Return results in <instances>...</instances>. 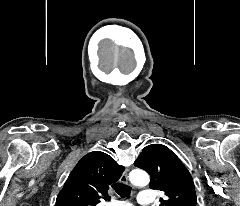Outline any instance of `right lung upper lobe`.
I'll return each instance as SVG.
<instances>
[{
	"mask_svg": "<svg viewBox=\"0 0 240 206\" xmlns=\"http://www.w3.org/2000/svg\"><path fill=\"white\" fill-rule=\"evenodd\" d=\"M124 169L101 151L85 155L70 173L55 206H96L101 199L109 200V186Z\"/></svg>",
	"mask_w": 240,
	"mask_h": 206,
	"instance_id": "cb5924a9",
	"label": "right lung upper lobe"
}]
</instances>
